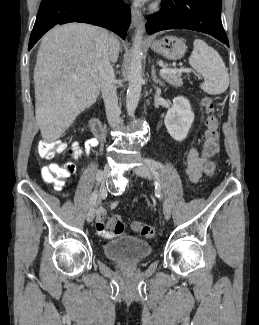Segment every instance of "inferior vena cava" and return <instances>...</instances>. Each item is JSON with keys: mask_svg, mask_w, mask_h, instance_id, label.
Returning <instances> with one entry per match:
<instances>
[{"mask_svg": "<svg viewBox=\"0 0 259 325\" xmlns=\"http://www.w3.org/2000/svg\"><path fill=\"white\" fill-rule=\"evenodd\" d=\"M95 69L99 75L106 116L111 127H117L120 120L115 74L110 63V40L108 31L99 29L98 46L95 56Z\"/></svg>", "mask_w": 259, "mask_h": 325, "instance_id": "inferior-vena-cava-1", "label": "inferior vena cava"}]
</instances>
